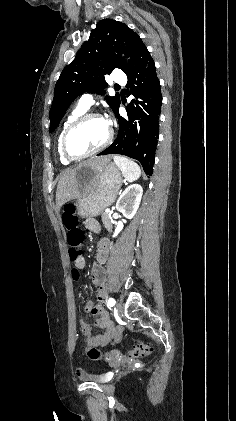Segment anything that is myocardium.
Here are the masks:
<instances>
[{
    "instance_id": "myocardium-1",
    "label": "myocardium",
    "mask_w": 236,
    "mask_h": 421,
    "mask_svg": "<svg viewBox=\"0 0 236 421\" xmlns=\"http://www.w3.org/2000/svg\"><path fill=\"white\" fill-rule=\"evenodd\" d=\"M102 119L104 120L107 124H108V134L107 137L105 139V141L99 145L97 148L82 154V155H77L75 153H73L69 147V138L70 135L72 133V131L82 122L88 120V119ZM113 129L111 127V125L107 122V120L105 119V117L99 113H84L81 114L80 116H78L77 118H75L69 125L68 127L65 129L64 134L62 136V142H61V149H62V153L63 155L69 160V161H76V160H81L87 157H90L102 150H104L111 142L113 139Z\"/></svg>"
}]
</instances>
